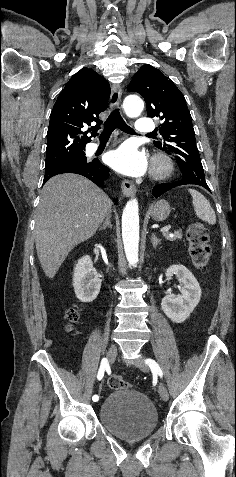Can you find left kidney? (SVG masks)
<instances>
[{
    "instance_id": "1",
    "label": "left kidney",
    "mask_w": 236,
    "mask_h": 477,
    "mask_svg": "<svg viewBox=\"0 0 236 477\" xmlns=\"http://www.w3.org/2000/svg\"><path fill=\"white\" fill-rule=\"evenodd\" d=\"M170 279L173 275L182 283L181 295L169 293L161 302V308L165 315L175 323L184 322L201 298V288L194 275L183 265H172L165 273Z\"/></svg>"
}]
</instances>
